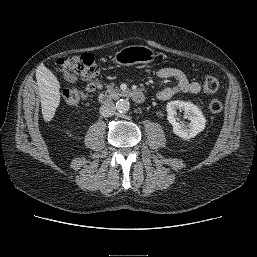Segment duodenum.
Segmentation results:
<instances>
[{
  "mask_svg": "<svg viewBox=\"0 0 257 257\" xmlns=\"http://www.w3.org/2000/svg\"><path fill=\"white\" fill-rule=\"evenodd\" d=\"M127 95L137 104H142L145 101V95L140 90L128 91ZM98 100L101 104H107L111 100V95L107 92L99 94Z\"/></svg>",
  "mask_w": 257,
  "mask_h": 257,
  "instance_id": "duodenum-1",
  "label": "duodenum"
}]
</instances>
